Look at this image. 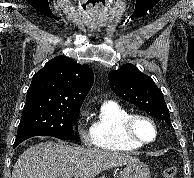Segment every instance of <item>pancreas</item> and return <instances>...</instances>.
Returning <instances> with one entry per match:
<instances>
[{"mask_svg":"<svg viewBox=\"0 0 194 178\" xmlns=\"http://www.w3.org/2000/svg\"><path fill=\"white\" fill-rule=\"evenodd\" d=\"M100 178H106L105 176H101Z\"/></svg>","mask_w":194,"mask_h":178,"instance_id":"cf45deb5","label":"pancreas"}]
</instances>
